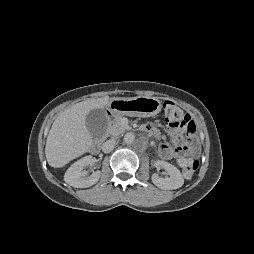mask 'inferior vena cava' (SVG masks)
I'll return each instance as SVG.
<instances>
[{
	"mask_svg": "<svg viewBox=\"0 0 254 254\" xmlns=\"http://www.w3.org/2000/svg\"><path fill=\"white\" fill-rule=\"evenodd\" d=\"M115 145L116 141L114 139H109L102 144V151L104 153H109L114 149Z\"/></svg>",
	"mask_w": 254,
	"mask_h": 254,
	"instance_id": "602c4592",
	"label": "inferior vena cava"
}]
</instances>
